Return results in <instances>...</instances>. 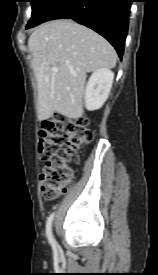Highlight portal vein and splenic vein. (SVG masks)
I'll use <instances>...</instances> for the list:
<instances>
[{
  "label": "portal vein and splenic vein",
  "instance_id": "18ae733b",
  "mask_svg": "<svg viewBox=\"0 0 158 275\" xmlns=\"http://www.w3.org/2000/svg\"><path fill=\"white\" fill-rule=\"evenodd\" d=\"M52 71L57 72V71H58V68H57V67H53V68H52Z\"/></svg>",
  "mask_w": 158,
  "mask_h": 275
}]
</instances>
